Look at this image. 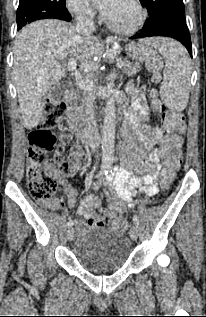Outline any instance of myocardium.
<instances>
[{
	"instance_id": "myocardium-1",
	"label": "myocardium",
	"mask_w": 206,
	"mask_h": 317,
	"mask_svg": "<svg viewBox=\"0 0 206 317\" xmlns=\"http://www.w3.org/2000/svg\"><path fill=\"white\" fill-rule=\"evenodd\" d=\"M129 2L138 11L137 20L135 21V23H133L130 26L122 27V26H118V25L114 24L107 17L104 16V21H105L106 25L112 31L119 33V34H123V35H129V34H133V33L137 32L144 25V23L147 19V15H148L147 10L145 9V7L142 5V3L139 0H129Z\"/></svg>"
}]
</instances>
